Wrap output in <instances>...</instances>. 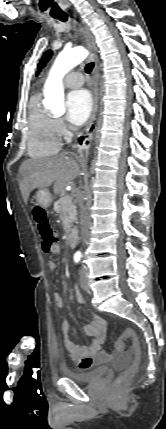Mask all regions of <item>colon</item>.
I'll use <instances>...</instances> for the list:
<instances>
[{"label":"colon","instance_id":"obj_1","mask_svg":"<svg viewBox=\"0 0 166 429\" xmlns=\"http://www.w3.org/2000/svg\"><path fill=\"white\" fill-rule=\"evenodd\" d=\"M34 218L41 236L42 248L48 252L58 242V234L52 228L47 218L46 212L41 207L34 208ZM126 341L131 342L130 354L132 361L130 365L123 370L114 382L116 388L126 386L136 374L140 359V346L135 332L131 329H126L122 335L115 341L114 347L116 350H123Z\"/></svg>","mask_w":166,"mask_h":429}]
</instances>
